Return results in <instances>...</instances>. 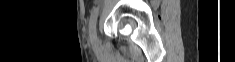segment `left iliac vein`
Segmentation results:
<instances>
[{
  "mask_svg": "<svg viewBox=\"0 0 235 62\" xmlns=\"http://www.w3.org/2000/svg\"><path fill=\"white\" fill-rule=\"evenodd\" d=\"M89 37L92 44L96 45L98 43L96 28L90 32Z\"/></svg>",
  "mask_w": 235,
  "mask_h": 62,
  "instance_id": "1",
  "label": "left iliac vein"
}]
</instances>
